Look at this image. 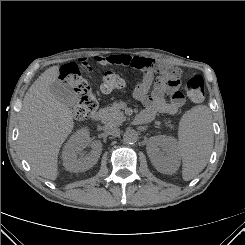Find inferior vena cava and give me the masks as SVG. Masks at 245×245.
I'll return each instance as SVG.
<instances>
[{"label":"inferior vena cava","mask_w":245,"mask_h":245,"mask_svg":"<svg viewBox=\"0 0 245 245\" xmlns=\"http://www.w3.org/2000/svg\"><path fill=\"white\" fill-rule=\"evenodd\" d=\"M106 132L112 136L118 137L120 136V129L117 127H107Z\"/></svg>","instance_id":"obj_1"}]
</instances>
